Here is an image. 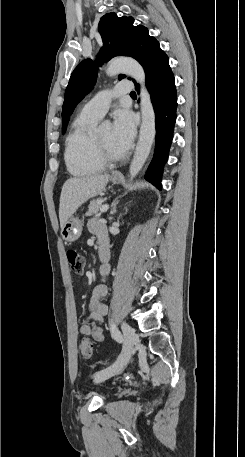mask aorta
I'll return each instance as SVG.
<instances>
[{
    "label": "aorta",
    "instance_id": "1",
    "mask_svg": "<svg viewBox=\"0 0 245 457\" xmlns=\"http://www.w3.org/2000/svg\"><path fill=\"white\" fill-rule=\"evenodd\" d=\"M125 73L140 84V106L142 123L139 140L130 164V178L133 179L142 169L152 147L156 135L155 112L150 94L145 86V72L143 67L132 58H118L113 60L106 70L108 76ZM104 123L103 126H106Z\"/></svg>",
    "mask_w": 245,
    "mask_h": 457
}]
</instances>
